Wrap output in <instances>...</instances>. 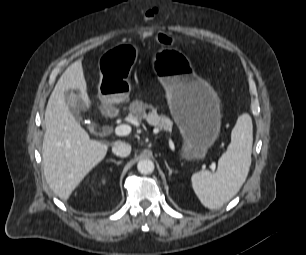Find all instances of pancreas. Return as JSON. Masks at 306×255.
I'll use <instances>...</instances> for the list:
<instances>
[{"mask_svg": "<svg viewBox=\"0 0 306 255\" xmlns=\"http://www.w3.org/2000/svg\"><path fill=\"white\" fill-rule=\"evenodd\" d=\"M149 108L151 111L146 114L145 110ZM131 114L136 119H146V121L153 126L159 127L161 130L171 132L173 123L166 115L157 113V109L153 106L148 105L143 102L136 101L131 104L130 107Z\"/></svg>", "mask_w": 306, "mask_h": 255, "instance_id": "1", "label": "pancreas"}]
</instances>
